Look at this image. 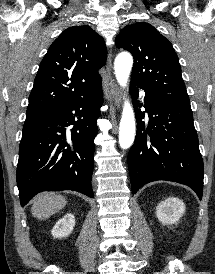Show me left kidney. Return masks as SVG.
Returning a JSON list of instances; mask_svg holds the SVG:
<instances>
[{
  "label": "left kidney",
  "mask_w": 215,
  "mask_h": 274,
  "mask_svg": "<svg viewBox=\"0 0 215 274\" xmlns=\"http://www.w3.org/2000/svg\"><path fill=\"white\" fill-rule=\"evenodd\" d=\"M184 212V203L175 197L167 198L156 207L157 218L164 225L176 223Z\"/></svg>",
  "instance_id": "obj_1"
}]
</instances>
